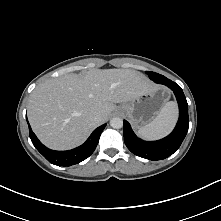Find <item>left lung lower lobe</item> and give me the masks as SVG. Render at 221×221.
Masks as SVG:
<instances>
[{
  "label": "left lung lower lobe",
  "mask_w": 221,
  "mask_h": 221,
  "mask_svg": "<svg viewBox=\"0 0 221 221\" xmlns=\"http://www.w3.org/2000/svg\"><path fill=\"white\" fill-rule=\"evenodd\" d=\"M160 84L168 86L175 94L179 106V119L173 132L158 141H143L124 120V142L135 155L149 160H163L175 153L183 142L189 127L188 104L183 90L175 82L166 79Z\"/></svg>",
  "instance_id": "obj_1"
}]
</instances>
